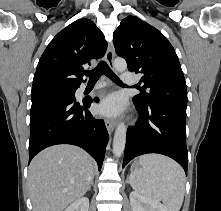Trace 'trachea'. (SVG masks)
<instances>
[{"mask_svg": "<svg viewBox=\"0 0 221 211\" xmlns=\"http://www.w3.org/2000/svg\"><path fill=\"white\" fill-rule=\"evenodd\" d=\"M102 74H105L116 84L124 85L119 77L110 69V67L104 61H101L94 70L85 73V75L89 76L90 78L89 82H96Z\"/></svg>", "mask_w": 221, "mask_h": 211, "instance_id": "1", "label": "trachea"}]
</instances>
